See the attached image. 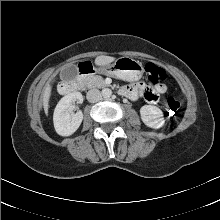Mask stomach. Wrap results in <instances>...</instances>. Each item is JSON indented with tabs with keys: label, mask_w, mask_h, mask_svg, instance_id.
Segmentation results:
<instances>
[{
	"label": "stomach",
	"mask_w": 220,
	"mask_h": 220,
	"mask_svg": "<svg viewBox=\"0 0 220 220\" xmlns=\"http://www.w3.org/2000/svg\"><path fill=\"white\" fill-rule=\"evenodd\" d=\"M97 72L133 82L139 80L144 68L141 62L130 57H120L113 64L100 66Z\"/></svg>",
	"instance_id": "stomach-1"
}]
</instances>
